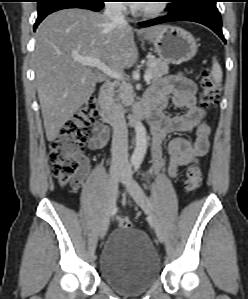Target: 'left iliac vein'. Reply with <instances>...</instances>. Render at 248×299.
I'll return each instance as SVG.
<instances>
[{"label":"left iliac vein","instance_id":"obj_1","mask_svg":"<svg viewBox=\"0 0 248 299\" xmlns=\"http://www.w3.org/2000/svg\"><path fill=\"white\" fill-rule=\"evenodd\" d=\"M125 169L129 171L130 166L126 165ZM127 190L129 194L132 196V198L136 201V203L151 217V224L155 230L156 236L159 239L160 242L164 241V235L161 227V223L157 216L153 213L151 205L149 201L146 198V195L142 188L137 185L136 183L132 182L131 185L127 187Z\"/></svg>","mask_w":248,"mask_h":299}]
</instances>
